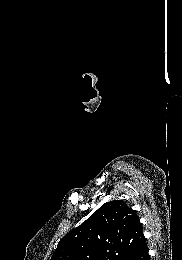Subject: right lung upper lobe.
<instances>
[{
	"label": "right lung upper lobe",
	"mask_w": 182,
	"mask_h": 260,
	"mask_svg": "<svg viewBox=\"0 0 182 260\" xmlns=\"http://www.w3.org/2000/svg\"><path fill=\"white\" fill-rule=\"evenodd\" d=\"M145 241L136 212L113 200L66 234L51 260H123Z\"/></svg>",
	"instance_id": "1"
}]
</instances>
